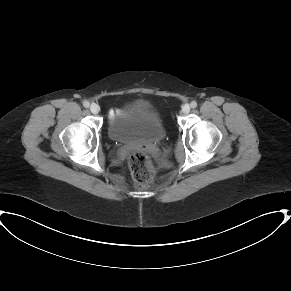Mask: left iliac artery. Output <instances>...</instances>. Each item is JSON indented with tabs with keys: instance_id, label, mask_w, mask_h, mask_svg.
Listing matches in <instances>:
<instances>
[{
	"instance_id": "1",
	"label": "left iliac artery",
	"mask_w": 291,
	"mask_h": 291,
	"mask_svg": "<svg viewBox=\"0 0 291 291\" xmlns=\"http://www.w3.org/2000/svg\"><path fill=\"white\" fill-rule=\"evenodd\" d=\"M191 108H196L197 107V102L196 101H192L190 103Z\"/></svg>"
}]
</instances>
